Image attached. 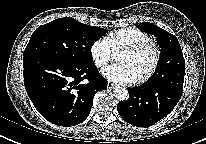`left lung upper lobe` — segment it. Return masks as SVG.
I'll use <instances>...</instances> for the list:
<instances>
[{"instance_id":"obj_1","label":"left lung upper lobe","mask_w":206,"mask_h":144,"mask_svg":"<svg viewBox=\"0 0 206 144\" xmlns=\"http://www.w3.org/2000/svg\"><path fill=\"white\" fill-rule=\"evenodd\" d=\"M138 28L156 36L161 47V55L156 71L147 82L157 83L170 71L185 68V60L180 44L173 34L148 22L140 23Z\"/></svg>"}]
</instances>
